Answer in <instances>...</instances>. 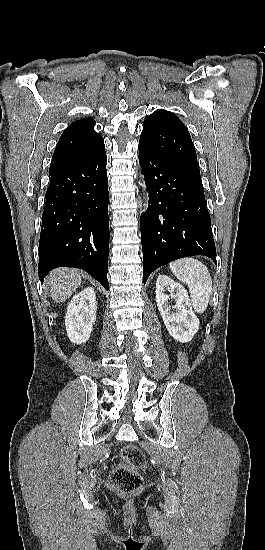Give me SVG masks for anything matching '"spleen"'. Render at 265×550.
<instances>
[{"label":"spleen","instance_id":"obj_1","mask_svg":"<svg viewBox=\"0 0 265 550\" xmlns=\"http://www.w3.org/2000/svg\"><path fill=\"white\" fill-rule=\"evenodd\" d=\"M170 269L178 280L188 285L195 311L203 313L212 293V279L207 267L197 259L184 258L170 263Z\"/></svg>","mask_w":265,"mask_h":550}]
</instances>
